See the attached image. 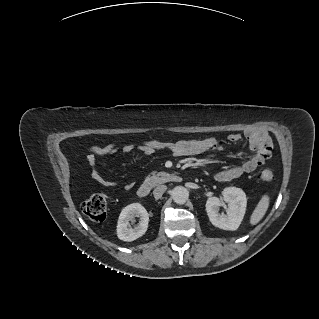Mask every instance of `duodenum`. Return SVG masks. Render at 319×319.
<instances>
[{"label":"duodenum","instance_id":"duodenum-1","mask_svg":"<svg viewBox=\"0 0 319 319\" xmlns=\"http://www.w3.org/2000/svg\"><path fill=\"white\" fill-rule=\"evenodd\" d=\"M180 177L172 173H158L148 177L137 189V195L141 198L147 197L152 189L165 183L178 182Z\"/></svg>","mask_w":319,"mask_h":319}]
</instances>
